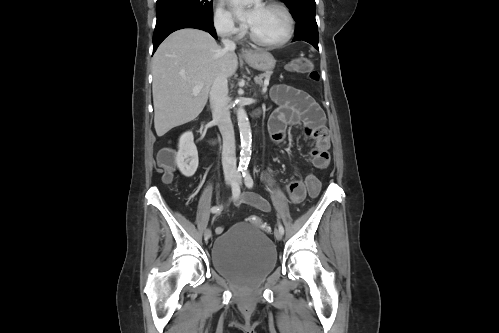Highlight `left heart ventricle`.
Here are the masks:
<instances>
[{
	"label": "left heart ventricle",
	"instance_id": "left-heart-ventricle-1",
	"mask_svg": "<svg viewBox=\"0 0 499 333\" xmlns=\"http://www.w3.org/2000/svg\"><path fill=\"white\" fill-rule=\"evenodd\" d=\"M250 28L261 39L279 40L286 34L287 21L284 13L274 7L263 6Z\"/></svg>",
	"mask_w": 499,
	"mask_h": 333
}]
</instances>
